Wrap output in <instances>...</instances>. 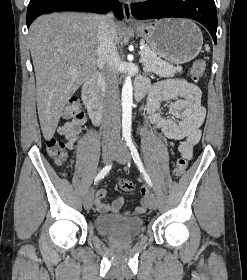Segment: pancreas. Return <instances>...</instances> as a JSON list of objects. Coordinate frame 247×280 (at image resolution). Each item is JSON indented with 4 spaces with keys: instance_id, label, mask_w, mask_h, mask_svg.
Instances as JSON below:
<instances>
[{
    "instance_id": "pancreas-1",
    "label": "pancreas",
    "mask_w": 247,
    "mask_h": 280,
    "mask_svg": "<svg viewBox=\"0 0 247 280\" xmlns=\"http://www.w3.org/2000/svg\"><path fill=\"white\" fill-rule=\"evenodd\" d=\"M141 52L146 59V61L143 62V69L145 72L155 73L160 77H173L182 70L181 67H175L159 58L148 45H144Z\"/></svg>"
}]
</instances>
